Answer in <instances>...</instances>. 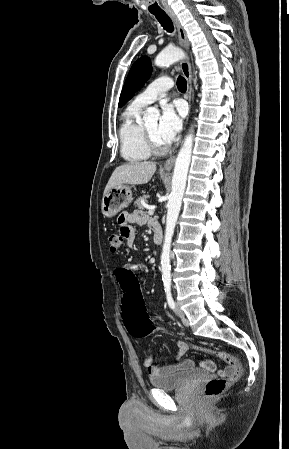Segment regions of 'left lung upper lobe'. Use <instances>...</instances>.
<instances>
[{"instance_id": "5c2ea615", "label": "left lung upper lobe", "mask_w": 289, "mask_h": 449, "mask_svg": "<svg viewBox=\"0 0 289 449\" xmlns=\"http://www.w3.org/2000/svg\"><path fill=\"white\" fill-rule=\"evenodd\" d=\"M151 71L152 66L148 57H142L133 64L120 95L119 107L128 102L133 94L144 85L151 75Z\"/></svg>"}]
</instances>
